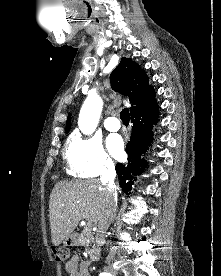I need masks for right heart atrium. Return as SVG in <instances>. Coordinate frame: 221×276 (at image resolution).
Returning <instances> with one entry per match:
<instances>
[{
	"instance_id": "obj_1",
	"label": "right heart atrium",
	"mask_w": 221,
	"mask_h": 276,
	"mask_svg": "<svg viewBox=\"0 0 221 276\" xmlns=\"http://www.w3.org/2000/svg\"><path fill=\"white\" fill-rule=\"evenodd\" d=\"M70 173L80 178H92L110 172L114 164L101 142L93 137L76 136L66 149Z\"/></svg>"
}]
</instances>
